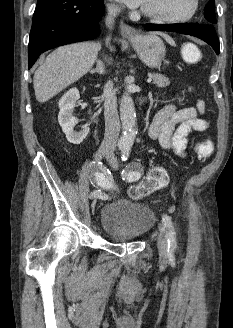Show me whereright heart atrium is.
Masks as SVG:
<instances>
[{
    "instance_id": "obj_1",
    "label": "right heart atrium",
    "mask_w": 233,
    "mask_h": 328,
    "mask_svg": "<svg viewBox=\"0 0 233 328\" xmlns=\"http://www.w3.org/2000/svg\"><path fill=\"white\" fill-rule=\"evenodd\" d=\"M108 9H109L111 12H115V11H116V7H115L114 5H111V4L108 5Z\"/></svg>"
}]
</instances>
